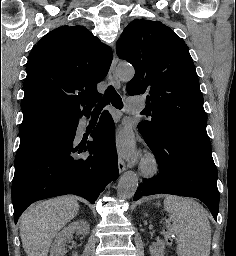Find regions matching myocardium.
Wrapping results in <instances>:
<instances>
[{
	"label": "myocardium",
	"mask_w": 236,
	"mask_h": 256,
	"mask_svg": "<svg viewBox=\"0 0 236 256\" xmlns=\"http://www.w3.org/2000/svg\"><path fill=\"white\" fill-rule=\"evenodd\" d=\"M140 167L145 177H154L160 170V161L154 153H148L143 157Z\"/></svg>",
	"instance_id": "1"
}]
</instances>
